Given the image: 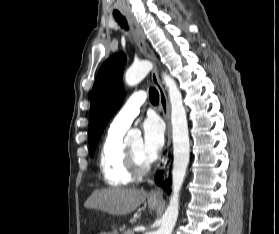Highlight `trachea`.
Listing matches in <instances>:
<instances>
[{"instance_id": "obj_1", "label": "trachea", "mask_w": 279, "mask_h": 234, "mask_svg": "<svg viewBox=\"0 0 279 234\" xmlns=\"http://www.w3.org/2000/svg\"><path fill=\"white\" fill-rule=\"evenodd\" d=\"M113 15H114V18L116 19V21L121 25V27L128 29L127 21H126L125 17H123L119 12H115ZM149 99L152 104H158V102H159V93L153 87H151L149 89Z\"/></svg>"}]
</instances>
